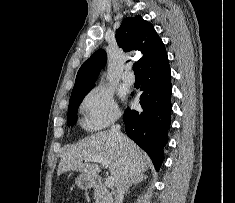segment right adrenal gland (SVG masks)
<instances>
[{
	"label": "right adrenal gland",
	"instance_id": "right-adrenal-gland-1",
	"mask_svg": "<svg viewBox=\"0 0 235 203\" xmlns=\"http://www.w3.org/2000/svg\"><path fill=\"white\" fill-rule=\"evenodd\" d=\"M145 178L146 176L144 174H139V175L131 177L129 184L126 187L125 194L128 193V190L131 186L141 183Z\"/></svg>",
	"mask_w": 235,
	"mask_h": 203
}]
</instances>
